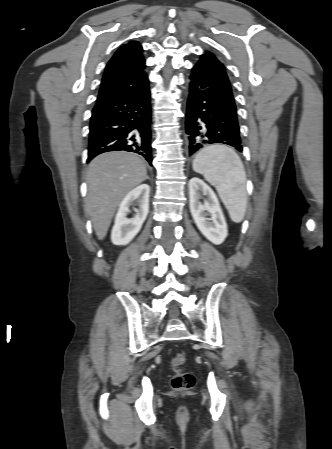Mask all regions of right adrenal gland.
<instances>
[{
	"label": "right adrenal gland",
	"mask_w": 332,
	"mask_h": 449,
	"mask_svg": "<svg viewBox=\"0 0 332 449\" xmlns=\"http://www.w3.org/2000/svg\"><path fill=\"white\" fill-rule=\"evenodd\" d=\"M146 179H149V177H148V176H146Z\"/></svg>",
	"instance_id": "obj_1"
}]
</instances>
